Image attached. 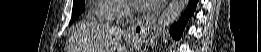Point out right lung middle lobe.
Here are the masks:
<instances>
[{
    "instance_id": "obj_1",
    "label": "right lung middle lobe",
    "mask_w": 261,
    "mask_h": 52,
    "mask_svg": "<svg viewBox=\"0 0 261 52\" xmlns=\"http://www.w3.org/2000/svg\"><path fill=\"white\" fill-rule=\"evenodd\" d=\"M84 10V0H78L73 3L72 18L70 24L77 18L79 14Z\"/></svg>"
}]
</instances>
